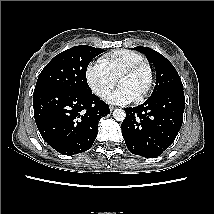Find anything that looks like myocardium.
<instances>
[{"label":"myocardium","instance_id":"1","mask_svg":"<svg viewBox=\"0 0 214 214\" xmlns=\"http://www.w3.org/2000/svg\"><path fill=\"white\" fill-rule=\"evenodd\" d=\"M141 70H145L147 72L148 80H147V84H146L143 92L135 99L137 102H142L143 100H145L148 97V95L150 94V92L154 86L155 73H154V69L151 66V64L149 62L143 60L141 62L135 63V64L125 68L118 76V81H119V79L121 77L136 74L137 72H139Z\"/></svg>","mask_w":214,"mask_h":214}]
</instances>
